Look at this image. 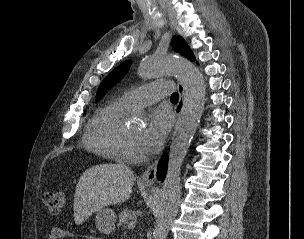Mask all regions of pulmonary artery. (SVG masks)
I'll list each match as a JSON object with an SVG mask.
<instances>
[{"label": "pulmonary artery", "mask_w": 304, "mask_h": 239, "mask_svg": "<svg viewBox=\"0 0 304 239\" xmlns=\"http://www.w3.org/2000/svg\"><path fill=\"white\" fill-rule=\"evenodd\" d=\"M170 82L147 84L124 93L120 100L130 108H141L151 105L170 94Z\"/></svg>", "instance_id": "pulmonary-artery-1"}]
</instances>
